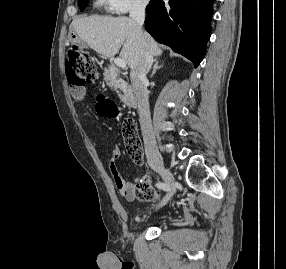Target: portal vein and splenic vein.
<instances>
[{"instance_id":"18ae733b","label":"portal vein and splenic vein","mask_w":286,"mask_h":269,"mask_svg":"<svg viewBox=\"0 0 286 269\" xmlns=\"http://www.w3.org/2000/svg\"><path fill=\"white\" fill-rule=\"evenodd\" d=\"M114 63H115V65H116L117 67H119V68H125L126 65H127V63L125 62V60H124V59H121V58L115 59V60H114Z\"/></svg>"}]
</instances>
